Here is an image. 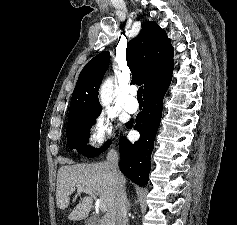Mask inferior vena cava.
<instances>
[{"label": "inferior vena cava", "mask_w": 237, "mask_h": 225, "mask_svg": "<svg viewBox=\"0 0 237 225\" xmlns=\"http://www.w3.org/2000/svg\"><path fill=\"white\" fill-rule=\"evenodd\" d=\"M106 159L116 183V225H128L127 197L124 189L125 179L119 170V158L116 150H110Z\"/></svg>", "instance_id": "inferior-vena-cava-1"}]
</instances>
